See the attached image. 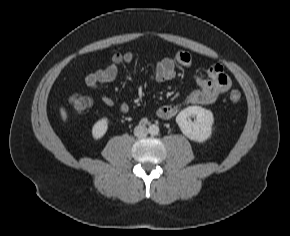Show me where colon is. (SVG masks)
<instances>
[{
	"label": "colon",
	"instance_id": "obj_1",
	"mask_svg": "<svg viewBox=\"0 0 290 236\" xmlns=\"http://www.w3.org/2000/svg\"><path fill=\"white\" fill-rule=\"evenodd\" d=\"M241 97V93L237 90H233L229 94V99L233 103L239 102L241 100ZM69 103L76 113L82 114L91 107L92 100L85 95L73 94L69 97Z\"/></svg>",
	"mask_w": 290,
	"mask_h": 236
}]
</instances>
